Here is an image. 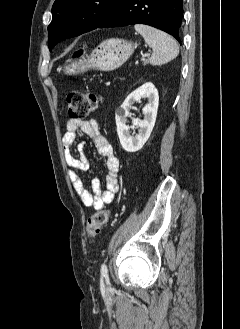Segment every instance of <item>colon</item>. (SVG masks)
<instances>
[{
    "label": "colon",
    "instance_id": "colon-1",
    "mask_svg": "<svg viewBox=\"0 0 240 329\" xmlns=\"http://www.w3.org/2000/svg\"><path fill=\"white\" fill-rule=\"evenodd\" d=\"M82 55V50L77 51L73 59L77 60ZM100 102V96L90 91H72L67 94L65 103L68 115L71 119H82L92 113ZM110 217V210H100L90 216L87 220L86 229L90 239H93L100 232Z\"/></svg>",
    "mask_w": 240,
    "mask_h": 329
}]
</instances>
